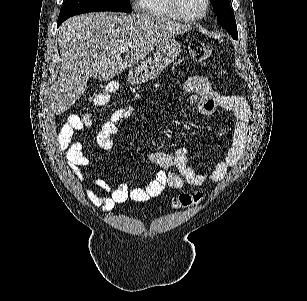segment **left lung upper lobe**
<instances>
[{
	"mask_svg": "<svg viewBox=\"0 0 307 301\" xmlns=\"http://www.w3.org/2000/svg\"><path fill=\"white\" fill-rule=\"evenodd\" d=\"M213 10L217 15L218 23L232 36L238 40L237 25L235 22L234 12L230 7L229 0H210Z\"/></svg>",
	"mask_w": 307,
	"mask_h": 301,
	"instance_id": "left-lung-upper-lobe-1",
	"label": "left lung upper lobe"
}]
</instances>
